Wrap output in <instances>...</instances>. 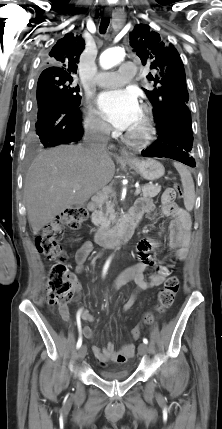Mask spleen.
<instances>
[{
	"instance_id": "spleen-1",
	"label": "spleen",
	"mask_w": 222,
	"mask_h": 429,
	"mask_svg": "<svg viewBox=\"0 0 222 429\" xmlns=\"http://www.w3.org/2000/svg\"><path fill=\"white\" fill-rule=\"evenodd\" d=\"M173 165L181 178L184 191V206L187 211H192L195 203V188L192 175L183 164L174 162Z\"/></svg>"
}]
</instances>
